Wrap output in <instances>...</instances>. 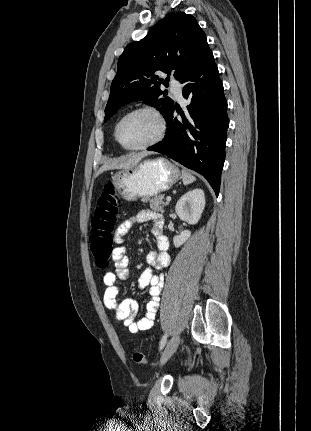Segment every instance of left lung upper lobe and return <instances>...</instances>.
Masks as SVG:
<instances>
[{
	"mask_svg": "<svg viewBox=\"0 0 311 431\" xmlns=\"http://www.w3.org/2000/svg\"><path fill=\"white\" fill-rule=\"evenodd\" d=\"M208 49L205 33L192 15L167 14L145 38L129 44L119 57L104 121L134 99H143L166 117L174 102L160 90V83L165 81L158 73L170 75L174 70V77L180 81Z\"/></svg>",
	"mask_w": 311,
	"mask_h": 431,
	"instance_id": "1",
	"label": "left lung upper lobe"
}]
</instances>
